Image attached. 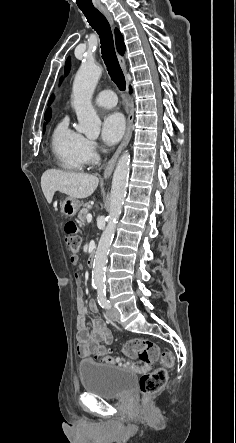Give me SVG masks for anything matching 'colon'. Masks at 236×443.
I'll return each instance as SVG.
<instances>
[{"label": "colon", "instance_id": "1", "mask_svg": "<svg viewBox=\"0 0 236 443\" xmlns=\"http://www.w3.org/2000/svg\"><path fill=\"white\" fill-rule=\"evenodd\" d=\"M64 232L65 241L71 252V261L75 263L80 247L77 225L73 221L66 222ZM93 352L95 358L102 362L141 371L160 360L162 367L144 373L140 379L139 388L145 396L155 394L164 387L168 379L166 368L173 365V356L168 352H161L159 347L148 339L135 338L125 341L122 344V352L127 359L110 355L108 349L101 345L93 347Z\"/></svg>", "mask_w": 236, "mask_h": 443}]
</instances>
